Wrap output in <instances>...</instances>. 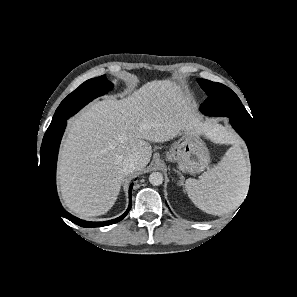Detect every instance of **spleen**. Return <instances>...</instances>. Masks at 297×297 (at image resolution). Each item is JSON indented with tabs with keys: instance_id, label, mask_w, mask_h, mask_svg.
Masks as SVG:
<instances>
[{
	"instance_id": "spleen-1",
	"label": "spleen",
	"mask_w": 297,
	"mask_h": 297,
	"mask_svg": "<svg viewBox=\"0 0 297 297\" xmlns=\"http://www.w3.org/2000/svg\"><path fill=\"white\" fill-rule=\"evenodd\" d=\"M249 171L243 150L233 145L222 160L199 179H187L189 198L202 211L220 215L236 209L244 199Z\"/></svg>"
}]
</instances>
